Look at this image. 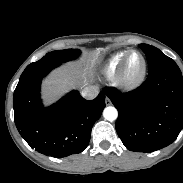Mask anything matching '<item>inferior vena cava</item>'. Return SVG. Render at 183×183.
Returning <instances> with one entry per match:
<instances>
[{
	"label": "inferior vena cava",
	"instance_id": "602c4592",
	"mask_svg": "<svg viewBox=\"0 0 183 183\" xmlns=\"http://www.w3.org/2000/svg\"><path fill=\"white\" fill-rule=\"evenodd\" d=\"M99 94V89L96 86H89V87H85L82 92L81 95L87 99V100H92L95 97H97V95Z\"/></svg>",
	"mask_w": 183,
	"mask_h": 183
}]
</instances>
